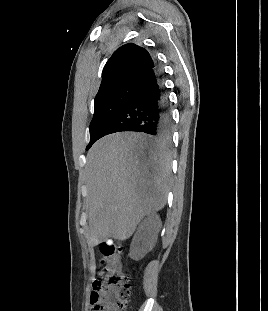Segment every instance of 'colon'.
<instances>
[{"label":"colon","instance_id":"5ec220e1","mask_svg":"<svg viewBox=\"0 0 268 311\" xmlns=\"http://www.w3.org/2000/svg\"><path fill=\"white\" fill-rule=\"evenodd\" d=\"M100 253L102 277L93 285L91 311H123L130 296V286L121 249L104 243L100 247Z\"/></svg>","mask_w":268,"mask_h":311}]
</instances>
